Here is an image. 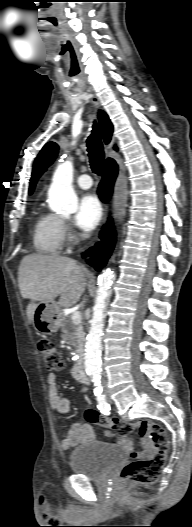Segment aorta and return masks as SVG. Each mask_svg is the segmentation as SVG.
<instances>
[{"label": "aorta", "mask_w": 192, "mask_h": 527, "mask_svg": "<svg viewBox=\"0 0 192 527\" xmlns=\"http://www.w3.org/2000/svg\"><path fill=\"white\" fill-rule=\"evenodd\" d=\"M73 171L71 161L58 165L49 189L50 208L63 215L75 213L78 209V199L72 187ZM117 185L120 198L124 199L126 193L124 176L119 177ZM112 279L113 272L110 268L103 270L98 277L97 295L86 341L84 365L87 375L94 382H98L101 378L105 309L111 295Z\"/></svg>", "instance_id": "aorta-1"}]
</instances>
